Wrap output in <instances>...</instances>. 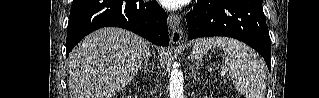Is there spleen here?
Segmentation results:
<instances>
[{
	"mask_svg": "<svg viewBox=\"0 0 319 98\" xmlns=\"http://www.w3.org/2000/svg\"><path fill=\"white\" fill-rule=\"evenodd\" d=\"M212 48L224 51L225 69L240 93L246 98H264L266 73L258 54L238 40L216 37L198 40L192 50L193 58L201 63L202 55Z\"/></svg>",
	"mask_w": 319,
	"mask_h": 98,
	"instance_id": "3e777b00",
	"label": "spleen"
}]
</instances>
